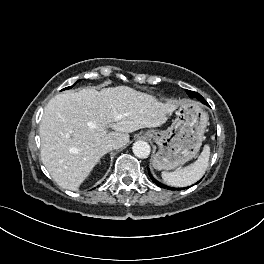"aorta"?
<instances>
[{
    "label": "aorta",
    "mask_w": 264,
    "mask_h": 264,
    "mask_svg": "<svg viewBox=\"0 0 264 264\" xmlns=\"http://www.w3.org/2000/svg\"><path fill=\"white\" fill-rule=\"evenodd\" d=\"M133 153L135 156H137L138 158H147L150 155V145L142 140L136 141L133 144Z\"/></svg>",
    "instance_id": "obj_1"
}]
</instances>
